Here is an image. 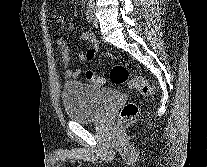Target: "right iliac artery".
Listing matches in <instances>:
<instances>
[{"mask_svg": "<svg viewBox=\"0 0 207 167\" xmlns=\"http://www.w3.org/2000/svg\"><path fill=\"white\" fill-rule=\"evenodd\" d=\"M86 15H87V20L89 23L92 22V18H93V4L92 2H88L87 4V12H86Z\"/></svg>", "mask_w": 207, "mask_h": 167, "instance_id": "obj_1", "label": "right iliac artery"}]
</instances>
